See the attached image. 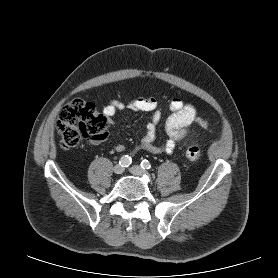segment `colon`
<instances>
[{
    "label": "colon",
    "instance_id": "obj_1",
    "mask_svg": "<svg viewBox=\"0 0 278 278\" xmlns=\"http://www.w3.org/2000/svg\"><path fill=\"white\" fill-rule=\"evenodd\" d=\"M107 125V117L94 104L80 99L65 104L56 122L60 145L65 150L76 146L82 139L100 140ZM185 155L190 161H198L202 152L198 145L190 144Z\"/></svg>",
    "mask_w": 278,
    "mask_h": 278
}]
</instances>
